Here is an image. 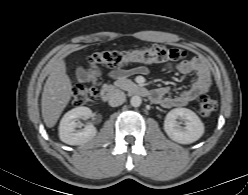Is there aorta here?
Masks as SVG:
<instances>
[{"label":"aorta","mask_w":248,"mask_h":195,"mask_svg":"<svg viewBox=\"0 0 248 195\" xmlns=\"http://www.w3.org/2000/svg\"><path fill=\"white\" fill-rule=\"evenodd\" d=\"M142 103V100H141V97L140 96H133L131 99H130V104L133 106V107H139Z\"/></svg>","instance_id":"aorta-1"}]
</instances>
